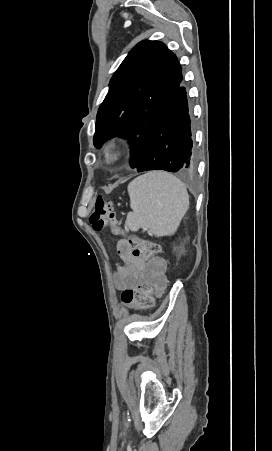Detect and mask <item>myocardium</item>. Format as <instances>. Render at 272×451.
<instances>
[{"mask_svg":"<svg viewBox=\"0 0 272 451\" xmlns=\"http://www.w3.org/2000/svg\"><path fill=\"white\" fill-rule=\"evenodd\" d=\"M122 160L123 153L119 148L113 145H108L104 148L103 161L105 164L109 166H117L122 162Z\"/></svg>","mask_w":272,"mask_h":451,"instance_id":"1","label":"myocardium"}]
</instances>
